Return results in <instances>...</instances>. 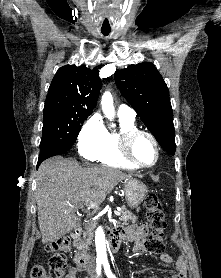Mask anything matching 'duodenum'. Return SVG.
Returning <instances> with one entry per match:
<instances>
[{
	"mask_svg": "<svg viewBox=\"0 0 221 278\" xmlns=\"http://www.w3.org/2000/svg\"><path fill=\"white\" fill-rule=\"evenodd\" d=\"M81 233H82V228L76 227L72 231L71 235L74 239H79L81 236ZM125 238H126V236H125L124 230L117 228V227H112L111 232L109 234L110 250L113 253L118 252L121 247V244ZM74 261L80 270L86 269L90 262V255L85 252L78 251L74 255Z\"/></svg>",
	"mask_w": 221,
	"mask_h": 278,
	"instance_id": "410a0bca",
	"label": "duodenum"
}]
</instances>
